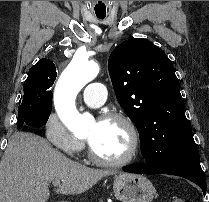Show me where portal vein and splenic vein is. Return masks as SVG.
<instances>
[{"label":"portal vein and splenic vein","mask_w":209,"mask_h":202,"mask_svg":"<svg viewBox=\"0 0 209 202\" xmlns=\"http://www.w3.org/2000/svg\"><path fill=\"white\" fill-rule=\"evenodd\" d=\"M52 183H53V185H55V186H59V185H60V181H53Z\"/></svg>","instance_id":"1"}]
</instances>
